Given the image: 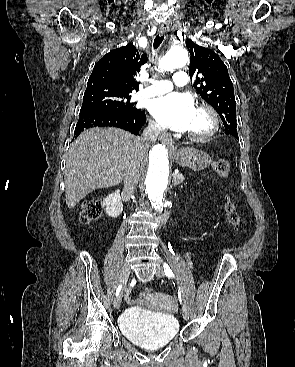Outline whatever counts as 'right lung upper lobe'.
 Instances as JSON below:
<instances>
[{
    "label": "right lung upper lobe",
    "instance_id": "1",
    "mask_svg": "<svg viewBox=\"0 0 295 367\" xmlns=\"http://www.w3.org/2000/svg\"><path fill=\"white\" fill-rule=\"evenodd\" d=\"M146 62V55H142L140 59L132 43L114 49L94 66L86 89L104 88L121 94L138 90L139 83L135 81L134 76Z\"/></svg>",
    "mask_w": 295,
    "mask_h": 367
}]
</instances>
